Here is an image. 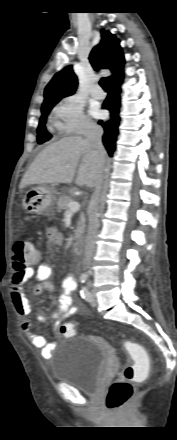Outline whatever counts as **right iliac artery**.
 <instances>
[{"label": "right iliac artery", "instance_id": "1", "mask_svg": "<svg viewBox=\"0 0 177 440\" xmlns=\"http://www.w3.org/2000/svg\"><path fill=\"white\" fill-rule=\"evenodd\" d=\"M87 280V274H81V276H80V282L81 283H84L85 281Z\"/></svg>", "mask_w": 177, "mask_h": 440}]
</instances>
